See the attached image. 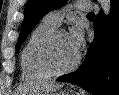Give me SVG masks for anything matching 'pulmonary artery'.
<instances>
[{
	"instance_id": "e3ab8cb5",
	"label": "pulmonary artery",
	"mask_w": 119,
	"mask_h": 95,
	"mask_svg": "<svg viewBox=\"0 0 119 95\" xmlns=\"http://www.w3.org/2000/svg\"><path fill=\"white\" fill-rule=\"evenodd\" d=\"M74 9L78 11H89L91 9V5L87 1H78L74 5ZM70 9H59L49 12L45 18L55 25L59 26L64 17L65 12H68Z\"/></svg>"
}]
</instances>
